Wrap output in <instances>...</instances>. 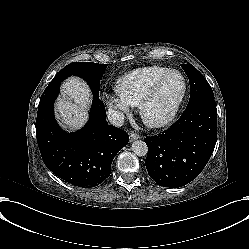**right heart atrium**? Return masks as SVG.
<instances>
[{"label":"right heart atrium","mask_w":249,"mask_h":249,"mask_svg":"<svg viewBox=\"0 0 249 249\" xmlns=\"http://www.w3.org/2000/svg\"><path fill=\"white\" fill-rule=\"evenodd\" d=\"M109 108L115 117L121 118L130 113L131 106L119 95L109 99Z\"/></svg>","instance_id":"1"}]
</instances>
